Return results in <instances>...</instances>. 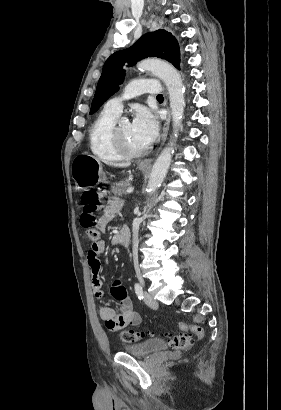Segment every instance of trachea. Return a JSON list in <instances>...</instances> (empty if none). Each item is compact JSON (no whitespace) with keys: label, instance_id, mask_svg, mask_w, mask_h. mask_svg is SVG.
<instances>
[{"label":"trachea","instance_id":"1","mask_svg":"<svg viewBox=\"0 0 281 410\" xmlns=\"http://www.w3.org/2000/svg\"><path fill=\"white\" fill-rule=\"evenodd\" d=\"M157 98H163L162 94L157 95Z\"/></svg>","mask_w":281,"mask_h":410}]
</instances>
